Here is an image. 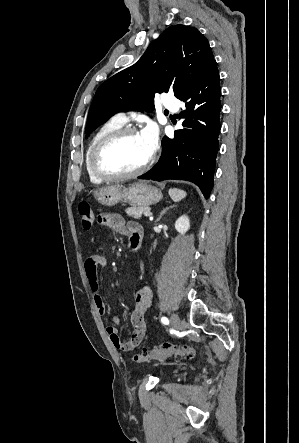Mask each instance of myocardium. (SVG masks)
<instances>
[{"label": "myocardium", "mask_w": 299, "mask_h": 443, "mask_svg": "<svg viewBox=\"0 0 299 443\" xmlns=\"http://www.w3.org/2000/svg\"><path fill=\"white\" fill-rule=\"evenodd\" d=\"M131 134H140V131L135 127H130V126L121 127L119 129H116L108 133L96 143L91 152L90 164L93 173L97 177L106 181L125 180L141 175L150 167L153 161L152 155L149 156L147 160L144 162V164H142L140 167L128 172L114 173L102 167L100 163V156L104 151V149L107 148L112 143L116 142L117 140L121 139L122 137Z\"/></svg>", "instance_id": "obj_1"}]
</instances>
